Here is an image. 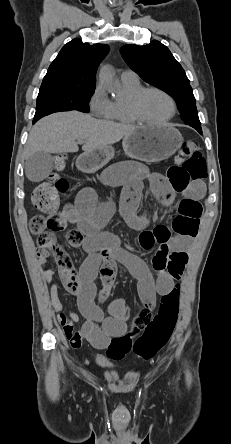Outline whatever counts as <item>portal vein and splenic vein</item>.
Segmentation results:
<instances>
[{"mask_svg": "<svg viewBox=\"0 0 231 444\" xmlns=\"http://www.w3.org/2000/svg\"><path fill=\"white\" fill-rule=\"evenodd\" d=\"M79 143H83V140H79Z\"/></svg>", "mask_w": 231, "mask_h": 444, "instance_id": "obj_1", "label": "portal vein and splenic vein"}]
</instances>
